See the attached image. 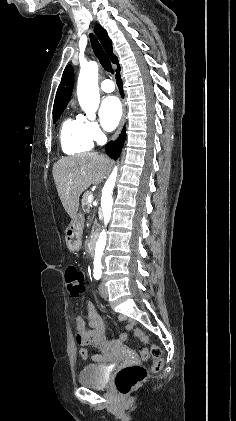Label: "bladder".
<instances>
[{"instance_id": "obj_1", "label": "bladder", "mask_w": 236, "mask_h": 421, "mask_svg": "<svg viewBox=\"0 0 236 421\" xmlns=\"http://www.w3.org/2000/svg\"><path fill=\"white\" fill-rule=\"evenodd\" d=\"M78 383L87 387L102 389L106 387V380L97 365L87 364L78 375Z\"/></svg>"}]
</instances>
